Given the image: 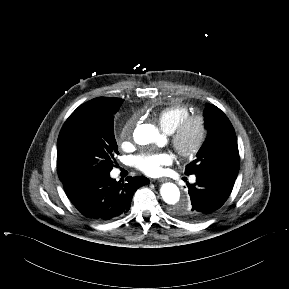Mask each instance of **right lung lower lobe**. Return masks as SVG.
I'll return each instance as SVG.
<instances>
[{
    "label": "right lung lower lobe",
    "instance_id": "obj_1",
    "mask_svg": "<svg viewBox=\"0 0 289 289\" xmlns=\"http://www.w3.org/2000/svg\"><path fill=\"white\" fill-rule=\"evenodd\" d=\"M117 182L110 175L87 178L64 187L72 204L85 217L106 221L128 212L134 191L149 183L146 177Z\"/></svg>",
    "mask_w": 289,
    "mask_h": 289
}]
</instances>
